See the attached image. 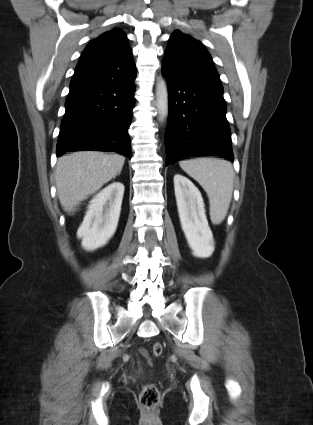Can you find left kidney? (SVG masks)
I'll return each mask as SVG.
<instances>
[{
  "instance_id": "1",
  "label": "left kidney",
  "mask_w": 313,
  "mask_h": 425,
  "mask_svg": "<svg viewBox=\"0 0 313 425\" xmlns=\"http://www.w3.org/2000/svg\"><path fill=\"white\" fill-rule=\"evenodd\" d=\"M174 190L181 227L192 254L198 258L210 257L214 252V240L200 191L180 174L174 176Z\"/></svg>"
}]
</instances>
